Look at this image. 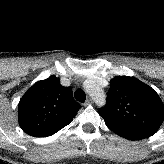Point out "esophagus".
I'll use <instances>...</instances> for the list:
<instances>
[{
  "label": "esophagus",
  "mask_w": 164,
  "mask_h": 164,
  "mask_svg": "<svg viewBox=\"0 0 164 164\" xmlns=\"http://www.w3.org/2000/svg\"><path fill=\"white\" fill-rule=\"evenodd\" d=\"M93 104V100L91 98H88L85 102V106Z\"/></svg>",
  "instance_id": "1"
}]
</instances>
